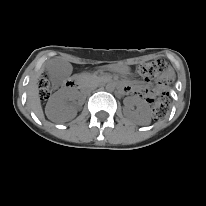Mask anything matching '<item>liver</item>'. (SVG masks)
<instances>
[{
    "instance_id": "6515ba94",
    "label": "liver",
    "mask_w": 206,
    "mask_h": 206,
    "mask_svg": "<svg viewBox=\"0 0 206 206\" xmlns=\"http://www.w3.org/2000/svg\"><path fill=\"white\" fill-rule=\"evenodd\" d=\"M43 70H40L30 81L28 85L27 103L29 108L36 114L39 119H44V114L39 97L38 79ZM75 117V113H70L68 109L58 112L56 115H49L48 118L57 123H64Z\"/></svg>"
}]
</instances>
